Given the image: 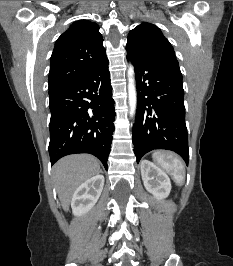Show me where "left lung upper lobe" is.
Listing matches in <instances>:
<instances>
[{
	"label": "left lung upper lobe",
	"mask_w": 233,
	"mask_h": 266,
	"mask_svg": "<svg viewBox=\"0 0 233 266\" xmlns=\"http://www.w3.org/2000/svg\"><path fill=\"white\" fill-rule=\"evenodd\" d=\"M126 49L154 57L176 59L169 41L157 26L150 23H142L130 31Z\"/></svg>",
	"instance_id": "1"
}]
</instances>
